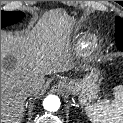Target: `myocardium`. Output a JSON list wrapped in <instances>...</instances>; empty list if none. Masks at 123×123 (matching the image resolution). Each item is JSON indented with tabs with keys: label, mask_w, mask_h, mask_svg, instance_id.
Masks as SVG:
<instances>
[{
	"label": "myocardium",
	"mask_w": 123,
	"mask_h": 123,
	"mask_svg": "<svg viewBox=\"0 0 123 123\" xmlns=\"http://www.w3.org/2000/svg\"><path fill=\"white\" fill-rule=\"evenodd\" d=\"M96 43H97V40L93 38L86 43V48L87 49H93L96 47Z\"/></svg>",
	"instance_id": "myocardium-1"
}]
</instances>
